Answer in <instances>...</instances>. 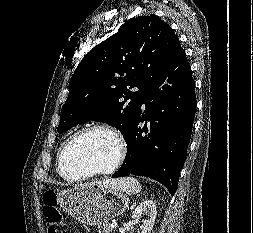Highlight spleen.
<instances>
[{"label": "spleen", "instance_id": "obj_1", "mask_svg": "<svg viewBox=\"0 0 253 233\" xmlns=\"http://www.w3.org/2000/svg\"><path fill=\"white\" fill-rule=\"evenodd\" d=\"M111 187L130 194H138L141 191V185L134 177L112 180Z\"/></svg>", "mask_w": 253, "mask_h": 233}]
</instances>
